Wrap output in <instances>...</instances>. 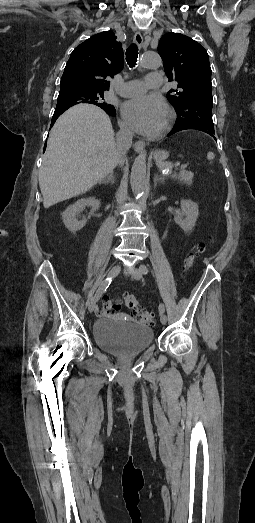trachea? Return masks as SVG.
Instances as JSON below:
<instances>
[{
	"label": "trachea",
	"mask_w": 255,
	"mask_h": 523,
	"mask_svg": "<svg viewBox=\"0 0 255 523\" xmlns=\"http://www.w3.org/2000/svg\"><path fill=\"white\" fill-rule=\"evenodd\" d=\"M138 58V46L132 43L126 50V62L133 68L136 65Z\"/></svg>",
	"instance_id": "obj_1"
}]
</instances>
